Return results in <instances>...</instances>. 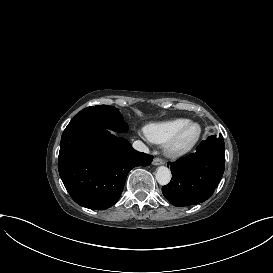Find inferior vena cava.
<instances>
[{
	"mask_svg": "<svg viewBox=\"0 0 273 273\" xmlns=\"http://www.w3.org/2000/svg\"><path fill=\"white\" fill-rule=\"evenodd\" d=\"M132 147L141 152H149V148L141 140L134 141Z\"/></svg>",
	"mask_w": 273,
	"mask_h": 273,
	"instance_id": "602c4592",
	"label": "inferior vena cava"
}]
</instances>
